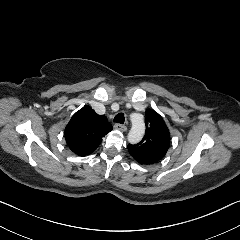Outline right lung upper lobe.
Here are the masks:
<instances>
[{"mask_svg":"<svg viewBox=\"0 0 240 240\" xmlns=\"http://www.w3.org/2000/svg\"><path fill=\"white\" fill-rule=\"evenodd\" d=\"M112 126L105 116L97 115L89 106L77 111L65 128L69 148L80 156L92 153Z\"/></svg>","mask_w":240,"mask_h":240,"instance_id":"1","label":"right lung upper lobe"}]
</instances>
